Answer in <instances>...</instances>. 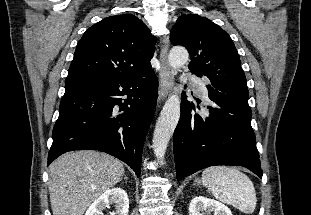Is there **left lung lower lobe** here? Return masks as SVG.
I'll return each mask as SVG.
<instances>
[{
    "label": "left lung lower lobe",
    "instance_id": "0a47b994",
    "mask_svg": "<svg viewBox=\"0 0 311 215\" xmlns=\"http://www.w3.org/2000/svg\"><path fill=\"white\" fill-rule=\"evenodd\" d=\"M207 88L212 101L207 115L192 113L193 102L182 96L173 136L177 179L213 165L244 166L262 177L248 98L220 92L211 85Z\"/></svg>",
    "mask_w": 311,
    "mask_h": 215
}]
</instances>
